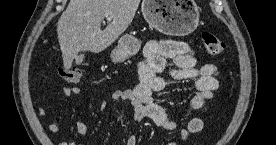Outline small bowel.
<instances>
[{
	"label": "small bowel",
	"mask_w": 276,
	"mask_h": 145,
	"mask_svg": "<svg viewBox=\"0 0 276 145\" xmlns=\"http://www.w3.org/2000/svg\"><path fill=\"white\" fill-rule=\"evenodd\" d=\"M171 64V66H170ZM176 79H195V93L192 96L189 107L193 111L204 112L207 102L213 98L218 88L217 67L214 64L196 66V58L188 44L175 40L149 41L144 48V59L139 64V83L133 89L114 90L110 95L111 101H128L134 109L133 122L138 123L144 118L150 119L156 126L166 130H176L178 124L169 119L165 109L153 97L166 87V78L161 74ZM59 94L71 96L80 94L78 87H60ZM108 101L100 103V109H107ZM51 107V103H48ZM38 115L44 116V110L38 108ZM75 128L78 134L86 135L88 126L77 121ZM48 132L55 134L60 125L57 119H53L48 126ZM203 130V120L200 117H192L188 120L185 128L178 132L177 139L168 145H179L178 141H185L191 134ZM60 145H75L74 143L62 142ZM125 145H137L135 135H130Z\"/></svg>",
	"instance_id": "c3829d8e"
}]
</instances>
